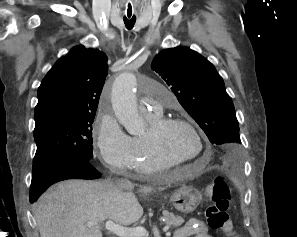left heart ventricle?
<instances>
[{"label": "left heart ventricle", "instance_id": "obj_1", "mask_svg": "<svg viewBox=\"0 0 297 237\" xmlns=\"http://www.w3.org/2000/svg\"><path fill=\"white\" fill-rule=\"evenodd\" d=\"M147 128L145 134L147 133ZM165 151L179 159L193 158L199 152V144L193 134L184 126H169L160 136Z\"/></svg>", "mask_w": 297, "mask_h": 237}]
</instances>
